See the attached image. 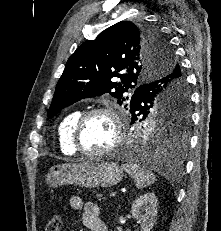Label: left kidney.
<instances>
[{
    "label": "left kidney",
    "instance_id": "left-kidney-1",
    "mask_svg": "<svg viewBox=\"0 0 221 231\" xmlns=\"http://www.w3.org/2000/svg\"><path fill=\"white\" fill-rule=\"evenodd\" d=\"M158 200L154 193L137 198L131 207L133 217L140 223L141 231H151L157 217Z\"/></svg>",
    "mask_w": 221,
    "mask_h": 231
}]
</instances>
